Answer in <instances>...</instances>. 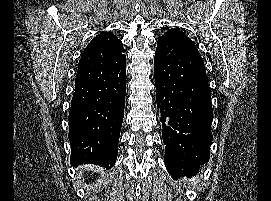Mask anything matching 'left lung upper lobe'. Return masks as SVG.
<instances>
[{"instance_id":"1","label":"left lung upper lobe","mask_w":271,"mask_h":201,"mask_svg":"<svg viewBox=\"0 0 271 201\" xmlns=\"http://www.w3.org/2000/svg\"><path fill=\"white\" fill-rule=\"evenodd\" d=\"M178 31H179L178 29H171V30H168V31H167L164 35H162L159 39L170 37V36L174 35L175 33H177Z\"/></svg>"}]
</instances>
